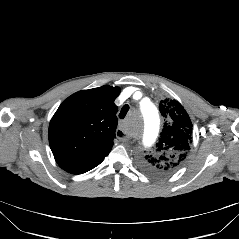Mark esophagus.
Segmentation results:
<instances>
[{
	"label": "esophagus",
	"mask_w": 239,
	"mask_h": 239,
	"mask_svg": "<svg viewBox=\"0 0 239 239\" xmlns=\"http://www.w3.org/2000/svg\"><path fill=\"white\" fill-rule=\"evenodd\" d=\"M116 136L120 141H126L127 140V136H125V132L120 128H118L116 130Z\"/></svg>",
	"instance_id": "obj_1"
}]
</instances>
